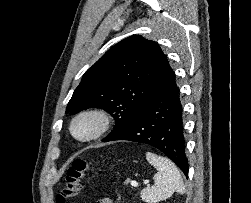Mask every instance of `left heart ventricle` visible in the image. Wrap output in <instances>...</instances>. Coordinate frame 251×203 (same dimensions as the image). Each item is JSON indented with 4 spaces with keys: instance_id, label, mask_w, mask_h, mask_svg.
Returning <instances> with one entry per match:
<instances>
[{
    "instance_id": "1",
    "label": "left heart ventricle",
    "mask_w": 251,
    "mask_h": 203,
    "mask_svg": "<svg viewBox=\"0 0 251 203\" xmlns=\"http://www.w3.org/2000/svg\"><path fill=\"white\" fill-rule=\"evenodd\" d=\"M94 128V122L90 119L80 120L75 126V132L79 136H84L90 133Z\"/></svg>"
}]
</instances>
